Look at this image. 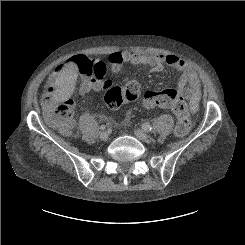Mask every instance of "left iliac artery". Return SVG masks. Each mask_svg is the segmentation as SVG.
<instances>
[{"label":"left iliac artery","mask_w":245,"mask_h":245,"mask_svg":"<svg viewBox=\"0 0 245 245\" xmlns=\"http://www.w3.org/2000/svg\"><path fill=\"white\" fill-rule=\"evenodd\" d=\"M142 129L144 130V131H151V129H152V127L150 126V124H148V123H144V124H142Z\"/></svg>","instance_id":"obj_1"}]
</instances>
